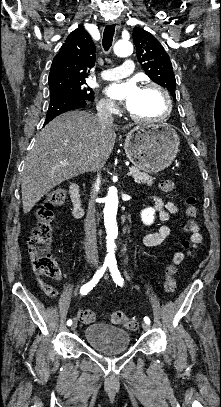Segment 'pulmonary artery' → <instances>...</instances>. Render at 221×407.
<instances>
[{
  "label": "pulmonary artery",
  "mask_w": 221,
  "mask_h": 407,
  "mask_svg": "<svg viewBox=\"0 0 221 407\" xmlns=\"http://www.w3.org/2000/svg\"><path fill=\"white\" fill-rule=\"evenodd\" d=\"M135 65L130 57L124 58L123 64L114 67L107 68L101 73V78L104 80H116L131 74L134 71Z\"/></svg>",
  "instance_id": "1"
}]
</instances>
